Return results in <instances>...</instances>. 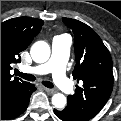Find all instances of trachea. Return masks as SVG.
I'll list each match as a JSON object with an SVG mask.
<instances>
[{
  "label": "trachea",
  "instance_id": "1",
  "mask_svg": "<svg viewBox=\"0 0 121 121\" xmlns=\"http://www.w3.org/2000/svg\"><path fill=\"white\" fill-rule=\"evenodd\" d=\"M15 74L17 76H20L21 78L25 79V80H28V81H35L36 77L34 75H31V74H25V73H21L20 71L16 70L15 71ZM42 84L47 87V88H53L54 85L49 82V81H42Z\"/></svg>",
  "mask_w": 121,
  "mask_h": 121
}]
</instances>
